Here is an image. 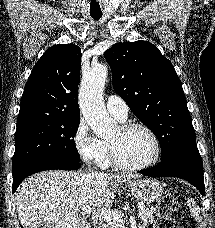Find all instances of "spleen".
<instances>
[{
	"label": "spleen",
	"mask_w": 215,
	"mask_h": 228,
	"mask_svg": "<svg viewBox=\"0 0 215 228\" xmlns=\"http://www.w3.org/2000/svg\"><path fill=\"white\" fill-rule=\"evenodd\" d=\"M188 204L189 206L192 204L191 200H189ZM192 214H194V216H198V212H195V210H192Z\"/></svg>",
	"instance_id": "1"
}]
</instances>
